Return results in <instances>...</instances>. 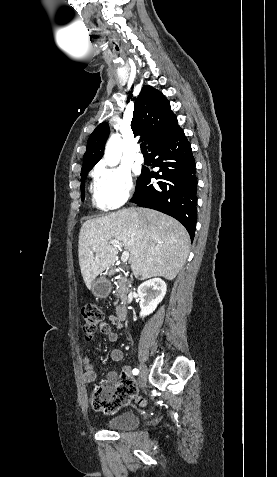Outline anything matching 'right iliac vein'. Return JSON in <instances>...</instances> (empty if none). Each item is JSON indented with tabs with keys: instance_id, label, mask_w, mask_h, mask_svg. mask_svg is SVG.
<instances>
[{
	"instance_id": "1",
	"label": "right iliac vein",
	"mask_w": 277,
	"mask_h": 477,
	"mask_svg": "<svg viewBox=\"0 0 277 477\" xmlns=\"http://www.w3.org/2000/svg\"><path fill=\"white\" fill-rule=\"evenodd\" d=\"M147 367L144 364H140L139 366V384L141 387L145 386L147 380Z\"/></svg>"
}]
</instances>
